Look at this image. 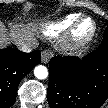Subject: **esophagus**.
Wrapping results in <instances>:
<instances>
[{"instance_id": "obj_1", "label": "esophagus", "mask_w": 108, "mask_h": 108, "mask_svg": "<svg viewBox=\"0 0 108 108\" xmlns=\"http://www.w3.org/2000/svg\"><path fill=\"white\" fill-rule=\"evenodd\" d=\"M53 53L50 50H44L41 53V61L44 64L49 63L50 59L52 58Z\"/></svg>"}]
</instances>
